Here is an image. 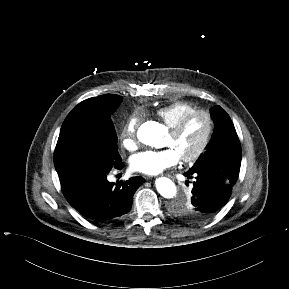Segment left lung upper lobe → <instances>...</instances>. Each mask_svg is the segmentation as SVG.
<instances>
[{
	"instance_id": "5c2ea615",
	"label": "left lung upper lobe",
	"mask_w": 289,
	"mask_h": 289,
	"mask_svg": "<svg viewBox=\"0 0 289 289\" xmlns=\"http://www.w3.org/2000/svg\"><path fill=\"white\" fill-rule=\"evenodd\" d=\"M215 123L214 132L206 151L200 155L189 171H198L208 168L225 170H240L241 147L240 142L229 115L220 107L211 109ZM172 213L189 222H193V211L189 202L180 200L173 204Z\"/></svg>"
}]
</instances>
